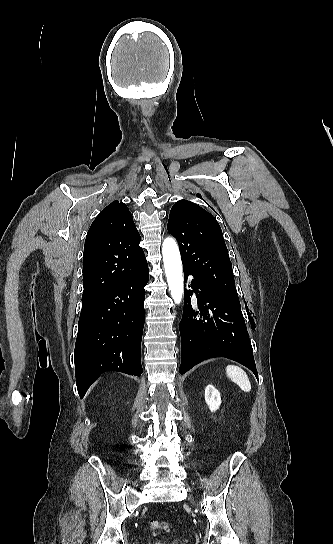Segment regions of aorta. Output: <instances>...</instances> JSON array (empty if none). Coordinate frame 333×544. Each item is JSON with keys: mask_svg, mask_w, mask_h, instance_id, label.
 Returning a JSON list of instances; mask_svg holds the SVG:
<instances>
[{"mask_svg": "<svg viewBox=\"0 0 333 544\" xmlns=\"http://www.w3.org/2000/svg\"><path fill=\"white\" fill-rule=\"evenodd\" d=\"M162 254L171 297L179 304L183 296V270L179 248L174 239L164 240Z\"/></svg>", "mask_w": 333, "mask_h": 544, "instance_id": "obj_1", "label": "aorta"}]
</instances>
